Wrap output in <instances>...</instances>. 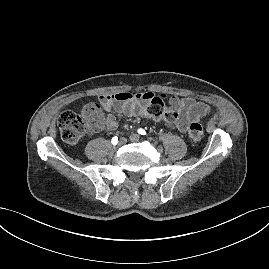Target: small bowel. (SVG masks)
<instances>
[{"instance_id": "1", "label": "small bowel", "mask_w": 269, "mask_h": 269, "mask_svg": "<svg viewBox=\"0 0 269 269\" xmlns=\"http://www.w3.org/2000/svg\"><path fill=\"white\" fill-rule=\"evenodd\" d=\"M152 97H154V94L150 92H120L113 95H101L98 99V106L106 112V115L101 117L97 130L115 129L118 123L112 112L129 116L138 115ZM169 102L175 111V116L172 120L162 121L165 122L168 128L176 129L183 133L187 132L191 123L197 122L211 113L209 105L190 97H171Z\"/></svg>"}]
</instances>
